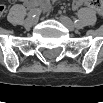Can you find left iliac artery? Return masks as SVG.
Wrapping results in <instances>:
<instances>
[{"mask_svg":"<svg viewBox=\"0 0 103 103\" xmlns=\"http://www.w3.org/2000/svg\"><path fill=\"white\" fill-rule=\"evenodd\" d=\"M74 23L77 27L81 26V22L78 19H75Z\"/></svg>","mask_w":103,"mask_h":103,"instance_id":"obj_1","label":"left iliac artery"}]
</instances>
